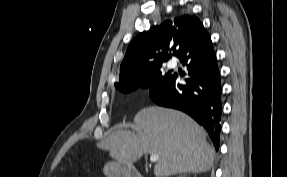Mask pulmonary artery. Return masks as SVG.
I'll use <instances>...</instances> for the list:
<instances>
[{"label": "pulmonary artery", "instance_id": "pulmonary-artery-1", "mask_svg": "<svg viewBox=\"0 0 287 177\" xmlns=\"http://www.w3.org/2000/svg\"><path fill=\"white\" fill-rule=\"evenodd\" d=\"M176 66V64L175 63H170V67H175Z\"/></svg>", "mask_w": 287, "mask_h": 177}]
</instances>
